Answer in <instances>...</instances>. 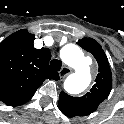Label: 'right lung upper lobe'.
I'll list each match as a JSON object with an SVG mask.
<instances>
[{"mask_svg":"<svg viewBox=\"0 0 124 124\" xmlns=\"http://www.w3.org/2000/svg\"><path fill=\"white\" fill-rule=\"evenodd\" d=\"M34 40V34L22 29L0 43V101L6 105H22L45 79H59L49 67L50 51L34 48Z\"/></svg>","mask_w":124,"mask_h":124,"instance_id":"1","label":"right lung upper lobe"}]
</instances>
